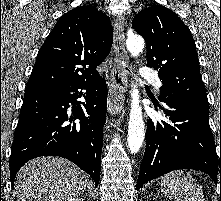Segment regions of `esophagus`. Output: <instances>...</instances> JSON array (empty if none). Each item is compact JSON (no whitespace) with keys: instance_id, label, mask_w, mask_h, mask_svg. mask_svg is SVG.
I'll list each match as a JSON object with an SVG mask.
<instances>
[{"instance_id":"34e87169","label":"esophagus","mask_w":221,"mask_h":201,"mask_svg":"<svg viewBox=\"0 0 221 201\" xmlns=\"http://www.w3.org/2000/svg\"><path fill=\"white\" fill-rule=\"evenodd\" d=\"M124 17L118 16L114 26L115 64L112 69V90L107 103L108 112L115 115L124 107L125 93L127 90V73L125 65L128 64V54L124 43Z\"/></svg>"}]
</instances>
